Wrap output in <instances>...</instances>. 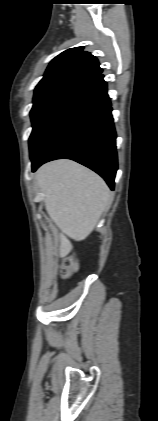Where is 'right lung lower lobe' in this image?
<instances>
[{"label": "right lung lower lobe", "mask_w": 158, "mask_h": 421, "mask_svg": "<svg viewBox=\"0 0 158 421\" xmlns=\"http://www.w3.org/2000/svg\"><path fill=\"white\" fill-rule=\"evenodd\" d=\"M107 85L100 73L65 102L37 149L32 171L55 159H72L102 176L114 189L117 171L116 133Z\"/></svg>", "instance_id": "obj_1"}]
</instances>
